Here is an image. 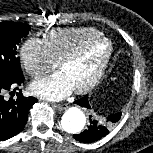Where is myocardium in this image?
Masks as SVG:
<instances>
[{
  "label": "myocardium",
  "mask_w": 153,
  "mask_h": 153,
  "mask_svg": "<svg viewBox=\"0 0 153 153\" xmlns=\"http://www.w3.org/2000/svg\"><path fill=\"white\" fill-rule=\"evenodd\" d=\"M98 43H104L106 45V52L102 60L100 61L97 69L95 70L94 74L92 75V77L85 84L74 89V91L78 94H83L88 92L100 81L113 55L114 51L113 42L108 37L99 35L84 42L80 47H78L76 50H74L72 53L67 55L59 62V67L62 70L66 65L73 63L79 60L80 58H82L92 46Z\"/></svg>",
  "instance_id": "1"
}]
</instances>
